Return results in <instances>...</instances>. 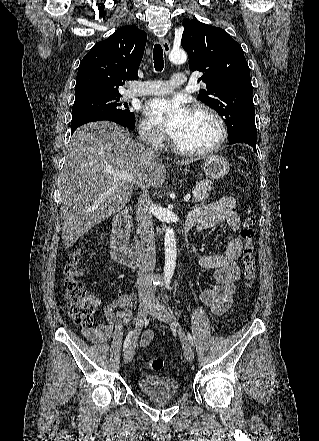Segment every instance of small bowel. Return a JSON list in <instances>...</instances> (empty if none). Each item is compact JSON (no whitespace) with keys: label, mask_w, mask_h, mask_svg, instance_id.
I'll return each instance as SVG.
<instances>
[{"label":"small bowel","mask_w":319,"mask_h":441,"mask_svg":"<svg viewBox=\"0 0 319 441\" xmlns=\"http://www.w3.org/2000/svg\"><path fill=\"white\" fill-rule=\"evenodd\" d=\"M235 206L234 197L223 196L216 201L194 208L184 223L188 229H194L195 234L222 223H226L231 231L221 254L202 255L197 244L192 245V251L200 266L214 271L216 284L204 290L199 296L200 301L208 306L214 315H222L232 306L235 281L240 276L237 260L242 252V241L236 233L241 227V220L235 211ZM92 302L96 306L102 305V300L97 297L92 298ZM133 307L134 298L130 294H123L108 302L103 306L104 319L93 327L83 328L84 336L93 343L106 342L127 326L132 317ZM119 308L125 309L120 325L116 314ZM152 338V332L145 331L140 338V345H148Z\"/></svg>","instance_id":"small-bowel-1"}]
</instances>
